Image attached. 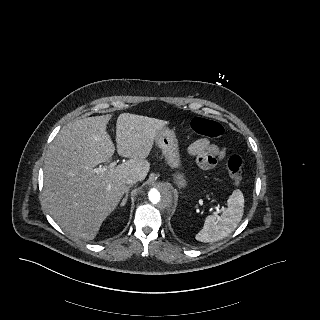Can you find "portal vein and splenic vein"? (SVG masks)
I'll use <instances>...</instances> for the list:
<instances>
[{
  "mask_svg": "<svg viewBox=\"0 0 320 320\" xmlns=\"http://www.w3.org/2000/svg\"><path fill=\"white\" fill-rule=\"evenodd\" d=\"M116 164H117V161H113V162H111V163L109 164L108 167H98V168H95L94 171H95L96 173L105 172V171H107V170H109V169H113V168L116 166ZM209 211L212 212L213 214L217 215V214L220 212L219 206L216 207V211H213V208H210Z\"/></svg>",
  "mask_w": 320,
  "mask_h": 320,
  "instance_id": "1",
  "label": "portal vein and splenic vein"
}]
</instances>
